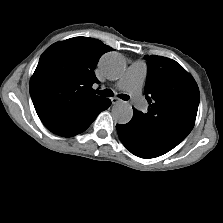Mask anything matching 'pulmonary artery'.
Listing matches in <instances>:
<instances>
[{
  "mask_svg": "<svg viewBox=\"0 0 223 223\" xmlns=\"http://www.w3.org/2000/svg\"><path fill=\"white\" fill-rule=\"evenodd\" d=\"M146 76L145 65L136 61L129 66L124 75L116 83L119 90L126 91L138 109H144L145 101L141 95L142 85Z\"/></svg>",
  "mask_w": 223,
  "mask_h": 223,
  "instance_id": "e3ab8cb5",
  "label": "pulmonary artery"
}]
</instances>
